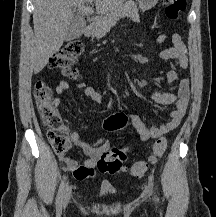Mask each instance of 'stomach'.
<instances>
[{
    "label": "stomach",
    "instance_id": "0dacf381",
    "mask_svg": "<svg viewBox=\"0 0 216 217\" xmlns=\"http://www.w3.org/2000/svg\"><path fill=\"white\" fill-rule=\"evenodd\" d=\"M159 0H137L139 8L142 11H147L155 7Z\"/></svg>",
    "mask_w": 216,
    "mask_h": 217
}]
</instances>
